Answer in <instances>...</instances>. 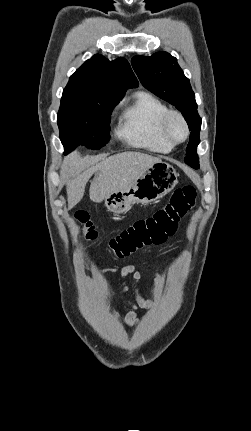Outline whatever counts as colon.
<instances>
[{
    "label": "colon",
    "mask_w": 251,
    "mask_h": 431,
    "mask_svg": "<svg viewBox=\"0 0 251 431\" xmlns=\"http://www.w3.org/2000/svg\"><path fill=\"white\" fill-rule=\"evenodd\" d=\"M196 191L192 186L176 189L169 202L153 215L135 221L109 241V250L119 259L126 258L134 252L150 245L164 243L172 236L178 222L195 205ZM78 226L77 234L86 241L97 237V231L86 213L75 216Z\"/></svg>",
    "instance_id": "obj_1"
}]
</instances>
